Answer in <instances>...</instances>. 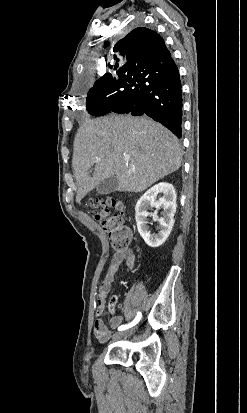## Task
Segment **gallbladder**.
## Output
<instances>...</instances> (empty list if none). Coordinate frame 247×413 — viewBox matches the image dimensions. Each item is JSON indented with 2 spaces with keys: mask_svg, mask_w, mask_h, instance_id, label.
Wrapping results in <instances>:
<instances>
[{
  "mask_svg": "<svg viewBox=\"0 0 247 413\" xmlns=\"http://www.w3.org/2000/svg\"><path fill=\"white\" fill-rule=\"evenodd\" d=\"M118 188V180L116 176H108L104 180H100L99 184L96 186L97 192L100 194H109V192H114Z\"/></svg>",
  "mask_w": 247,
  "mask_h": 413,
  "instance_id": "1",
  "label": "gallbladder"
}]
</instances>
